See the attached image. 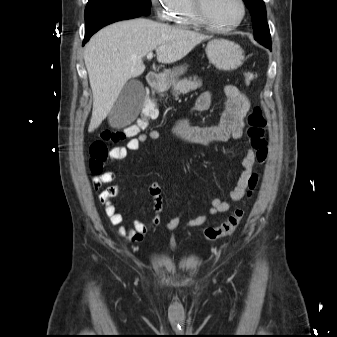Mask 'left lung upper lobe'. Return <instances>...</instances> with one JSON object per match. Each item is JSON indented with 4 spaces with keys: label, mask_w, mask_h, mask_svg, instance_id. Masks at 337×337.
Returning a JSON list of instances; mask_svg holds the SVG:
<instances>
[{
    "label": "left lung upper lobe",
    "mask_w": 337,
    "mask_h": 337,
    "mask_svg": "<svg viewBox=\"0 0 337 337\" xmlns=\"http://www.w3.org/2000/svg\"><path fill=\"white\" fill-rule=\"evenodd\" d=\"M249 8L254 23V38L265 47L271 48V36L263 0H243Z\"/></svg>",
    "instance_id": "5c2ea615"
}]
</instances>
